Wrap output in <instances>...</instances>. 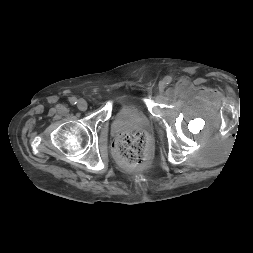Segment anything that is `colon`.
Returning a JSON list of instances; mask_svg holds the SVG:
<instances>
[{"mask_svg": "<svg viewBox=\"0 0 253 253\" xmlns=\"http://www.w3.org/2000/svg\"><path fill=\"white\" fill-rule=\"evenodd\" d=\"M149 140L145 133L132 130L121 134L113 143L117 161L130 168L142 166L147 158Z\"/></svg>", "mask_w": 253, "mask_h": 253, "instance_id": "5ec220e1", "label": "colon"}]
</instances>
